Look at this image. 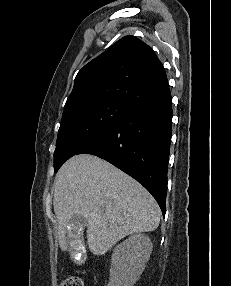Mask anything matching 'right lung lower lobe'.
Wrapping results in <instances>:
<instances>
[{
    "label": "right lung lower lobe",
    "instance_id": "98d812e1",
    "mask_svg": "<svg viewBox=\"0 0 231 286\" xmlns=\"http://www.w3.org/2000/svg\"><path fill=\"white\" fill-rule=\"evenodd\" d=\"M129 112L77 154L110 162L140 182L166 213L167 168L172 133L167 80L127 103Z\"/></svg>",
    "mask_w": 231,
    "mask_h": 286
}]
</instances>
